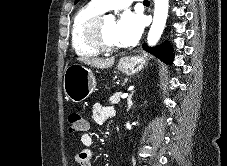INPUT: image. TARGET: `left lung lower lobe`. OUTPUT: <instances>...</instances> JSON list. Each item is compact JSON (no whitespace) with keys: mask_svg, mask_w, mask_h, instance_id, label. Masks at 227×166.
Listing matches in <instances>:
<instances>
[{"mask_svg":"<svg viewBox=\"0 0 227 166\" xmlns=\"http://www.w3.org/2000/svg\"><path fill=\"white\" fill-rule=\"evenodd\" d=\"M143 49L146 51H150L155 56L159 57L166 63H171L173 61V54L171 47L168 43L162 44L155 48H149L146 44H143Z\"/></svg>","mask_w":227,"mask_h":166,"instance_id":"0a47b994","label":"left lung lower lobe"}]
</instances>
